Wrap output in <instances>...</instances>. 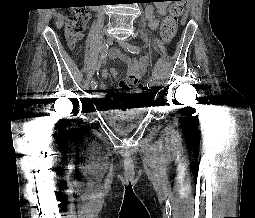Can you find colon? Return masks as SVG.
I'll list each match as a JSON object with an SVG mask.
<instances>
[{
	"label": "colon",
	"mask_w": 255,
	"mask_h": 218,
	"mask_svg": "<svg viewBox=\"0 0 255 218\" xmlns=\"http://www.w3.org/2000/svg\"><path fill=\"white\" fill-rule=\"evenodd\" d=\"M171 2L169 14L164 18L160 37L164 43H169L175 36L178 27V18L182 14L185 0H167ZM65 22V33L71 43L77 42L86 30L90 15L83 7H71L67 10ZM134 94L140 95L143 85L134 86Z\"/></svg>",
	"instance_id": "1"
}]
</instances>
